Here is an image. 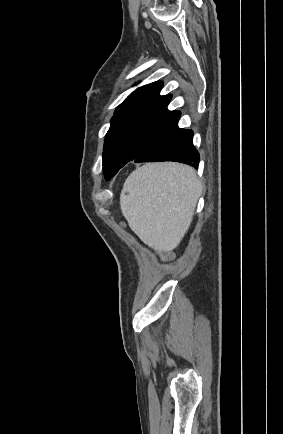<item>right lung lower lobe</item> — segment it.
<instances>
[{"instance_id":"right-lung-lower-lobe-1","label":"right lung lower lobe","mask_w":283,"mask_h":434,"mask_svg":"<svg viewBox=\"0 0 283 434\" xmlns=\"http://www.w3.org/2000/svg\"><path fill=\"white\" fill-rule=\"evenodd\" d=\"M193 131L180 129L178 122L150 143L135 159L140 162L176 161L199 165V153L193 145Z\"/></svg>"}]
</instances>
